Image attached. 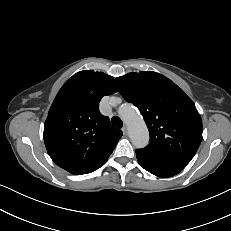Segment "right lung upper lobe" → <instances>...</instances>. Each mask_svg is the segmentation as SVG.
<instances>
[{
    "label": "right lung upper lobe",
    "mask_w": 231,
    "mask_h": 231,
    "mask_svg": "<svg viewBox=\"0 0 231 231\" xmlns=\"http://www.w3.org/2000/svg\"><path fill=\"white\" fill-rule=\"evenodd\" d=\"M117 90L113 77L92 70L74 74L62 86L44 125L48 154L59 167L81 175L106 162L123 133L99 112V102Z\"/></svg>",
    "instance_id": "obj_1"
}]
</instances>
